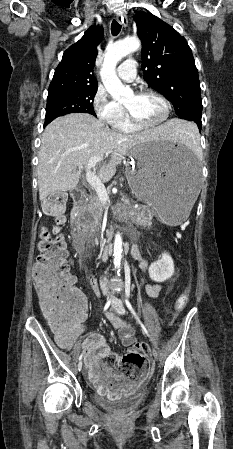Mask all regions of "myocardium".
Instances as JSON below:
<instances>
[{"instance_id":"myocardium-1","label":"myocardium","mask_w":233,"mask_h":449,"mask_svg":"<svg viewBox=\"0 0 233 449\" xmlns=\"http://www.w3.org/2000/svg\"><path fill=\"white\" fill-rule=\"evenodd\" d=\"M136 95H138V96L151 95V96H154L157 99H159L164 105V114L160 120H158L154 123H145V122L140 121L133 114V112L127 106L124 105L126 114L129 118L130 122L134 126H136L139 129H152V128H156V127L164 124L167 121V119L170 115L171 105H170L169 101L162 94H160L154 90L146 89V90H141V91L137 92Z\"/></svg>"}]
</instances>
